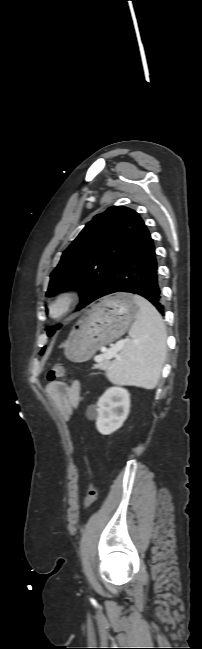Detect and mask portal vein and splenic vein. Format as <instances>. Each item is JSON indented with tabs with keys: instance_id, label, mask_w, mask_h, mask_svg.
I'll return each mask as SVG.
<instances>
[{
	"instance_id": "obj_1",
	"label": "portal vein and splenic vein",
	"mask_w": 202,
	"mask_h": 649,
	"mask_svg": "<svg viewBox=\"0 0 202 649\" xmlns=\"http://www.w3.org/2000/svg\"><path fill=\"white\" fill-rule=\"evenodd\" d=\"M125 341H126V340L120 341V342L118 343V345H117V349H115V350H109V351L106 352L105 354H101V355L96 356V357H95V360H96L97 362H101V361L104 360V359H112V358L116 355V351L119 350L120 348H122L123 343H124Z\"/></svg>"
}]
</instances>
